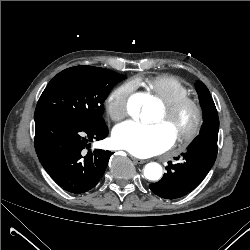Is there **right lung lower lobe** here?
Here are the masks:
<instances>
[{
    "label": "right lung lower lobe",
    "instance_id": "98d812e1",
    "mask_svg": "<svg viewBox=\"0 0 250 250\" xmlns=\"http://www.w3.org/2000/svg\"><path fill=\"white\" fill-rule=\"evenodd\" d=\"M107 126H91L81 121L38 117L35 119V149L54 181L71 193L92 189L104 174L110 151L96 149L90 142L104 139Z\"/></svg>",
    "mask_w": 250,
    "mask_h": 250
}]
</instances>
